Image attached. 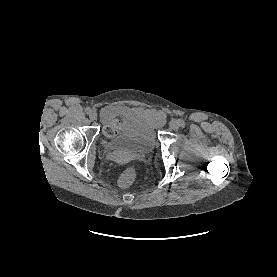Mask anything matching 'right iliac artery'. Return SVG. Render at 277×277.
<instances>
[{
  "instance_id": "1",
  "label": "right iliac artery",
  "mask_w": 277,
  "mask_h": 277,
  "mask_svg": "<svg viewBox=\"0 0 277 277\" xmlns=\"http://www.w3.org/2000/svg\"><path fill=\"white\" fill-rule=\"evenodd\" d=\"M86 114H90L92 112V109L90 107H87L85 109Z\"/></svg>"
}]
</instances>
